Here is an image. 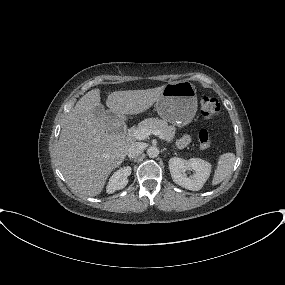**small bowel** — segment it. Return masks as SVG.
Wrapping results in <instances>:
<instances>
[{"label":"small bowel","mask_w":285,"mask_h":285,"mask_svg":"<svg viewBox=\"0 0 285 285\" xmlns=\"http://www.w3.org/2000/svg\"><path fill=\"white\" fill-rule=\"evenodd\" d=\"M190 142V138L188 136H183L177 141L178 147H184Z\"/></svg>","instance_id":"small-bowel-1"}]
</instances>
